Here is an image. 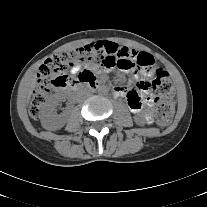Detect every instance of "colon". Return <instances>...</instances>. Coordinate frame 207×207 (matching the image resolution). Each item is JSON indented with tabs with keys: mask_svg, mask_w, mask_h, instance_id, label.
Wrapping results in <instances>:
<instances>
[{
	"mask_svg": "<svg viewBox=\"0 0 207 207\" xmlns=\"http://www.w3.org/2000/svg\"><path fill=\"white\" fill-rule=\"evenodd\" d=\"M158 61L154 55L139 52L133 48L120 47L109 41H99L69 51L52 55L41 66L37 83L30 99L29 112L32 118L38 119L40 110L51 94L53 87H64L84 80H94L91 72H84L78 78L70 79L64 71L74 65H84L104 69L119 68L122 70L138 69L151 71L157 67ZM147 87L155 95L156 122L160 127H166L172 121L174 113L173 97L175 89L169 73L158 68L154 78Z\"/></svg>",
	"mask_w": 207,
	"mask_h": 207,
	"instance_id": "obj_1",
	"label": "colon"
}]
</instances>
